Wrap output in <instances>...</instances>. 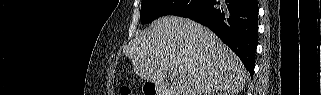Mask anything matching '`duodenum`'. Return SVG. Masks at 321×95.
I'll return each instance as SVG.
<instances>
[{
	"label": "duodenum",
	"mask_w": 321,
	"mask_h": 95,
	"mask_svg": "<svg viewBox=\"0 0 321 95\" xmlns=\"http://www.w3.org/2000/svg\"><path fill=\"white\" fill-rule=\"evenodd\" d=\"M155 95H171L170 92L164 91L162 89L156 88Z\"/></svg>",
	"instance_id": "1"
}]
</instances>
